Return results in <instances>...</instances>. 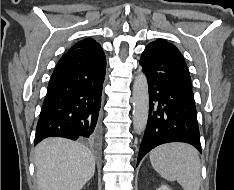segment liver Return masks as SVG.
I'll use <instances>...</instances> for the list:
<instances>
[{
  "instance_id": "liver-1",
  "label": "liver",
  "mask_w": 234,
  "mask_h": 190,
  "mask_svg": "<svg viewBox=\"0 0 234 190\" xmlns=\"http://www.w3.org/2000/svg\"><path fill=\"white\" fill-rule=\"evenodd\" d=\"M39 190H81L95 172L93 154L64 138H47L35 148Z\"/></svg>"
}]
</instances>
